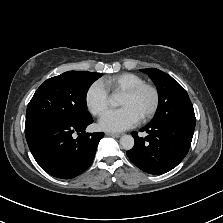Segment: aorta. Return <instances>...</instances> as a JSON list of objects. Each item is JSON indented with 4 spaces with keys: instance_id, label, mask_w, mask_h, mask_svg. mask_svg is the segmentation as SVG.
Here are the masks:
<instances>
[{
    "instance_id": "1",
    "label": "aorta",
    "mask_w": 223,
    "mask_h": 223,
    "mask_svg": "<svg viewBox=\"0 0 223 223\" xmlns=\"http://www.w3.org/2000/svg\"><path fill=\"white\" fill-rule=\"evenodd\" d=\"M111 104L113 105H117V100L116 98H113L111 100ZM120 145L126 149V150H129L133 147L134 145V138L131 136V135H128V134H124L121 136L120 138Z\"/></svg>"
}]
</instances>
